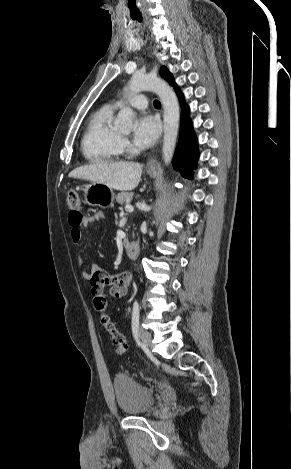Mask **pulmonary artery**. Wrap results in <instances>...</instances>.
I'll list each match as a JSON object with an SVG mask.
<instances>
[{
	"instance_id": "pulmonary-artery-1",
	"label": "pulmonary artery",
	"mask_w": 291,
	"mask_h": 469,
	"mask_svg": "<svg viewBox=\"0 0 291 469\" xmlns=\"http://www.w3.org/2000/svg\"><path fill=\"white\" fill-rule=\"evenodd\" d=\"M129 104L136 109H145L148 106V99L144 94H137L130 98ZM121 106L120 102L116 103Z\"/></svg>"
}]
</instances>
